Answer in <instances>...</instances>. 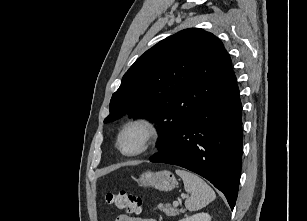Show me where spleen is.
<instances>
[{"label":"spleen","instance_id":"3e777b00","mask_svg":"<svg viewBox=\"0 0 307 221\" xmlns=\"http://www.w3.org/2000/svg\"><path fill=\"white\" fill-rule=\"evenodd\" d=\"M176 174L182 178L185 191L190 194L185 201L189 211L200 210L216 198L214 190L199 176L181 169H177Z\"/></svg>","mask_w":307,"mask_h":221}]
</instances>
